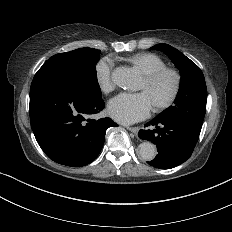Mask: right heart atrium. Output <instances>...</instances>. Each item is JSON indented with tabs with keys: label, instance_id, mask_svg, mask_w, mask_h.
I'll use <instances>...</instances> for the list:
<instances>
[{
	"label": "right heart atrium",
	"instance_id": "d8ad5b80",
	"mask_svg": "<svg viewBox=\"0 0 232 232\" xmlns=\"http://www.w3.org/2000/svg\"><path fill=\"white\" fill-rule=\"evenodd\" d=\"M113 68V61L110 57H103L96 64L95 75L99 87L108 92L113 89L111 81V72Z\"/></svg>",
	"mask_w": 232,
	"mask_h": 232
}]
</instances>
